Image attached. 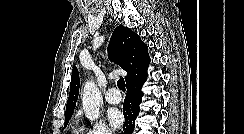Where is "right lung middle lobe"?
I'll use <instances>...</instances> for the list:
<instances>
[{
  "label": "right lung middle lobe",
  "instance_id": "dd1d6c3e",
  "mask_svg": "<svg viewBox=\"0 0 244 134\" xmlns=\"http://www.w3.org/2000/svg\"><path fill=\"white\" fill-rule=\"evenodd\" d=\"M71 116H72V115L65 116V123H64V127H66V126H67V124H68V122H69V120H70Z\"/></svg>",
  "mask_w": 244,
  "mask_h": 134
}]
</instances>
